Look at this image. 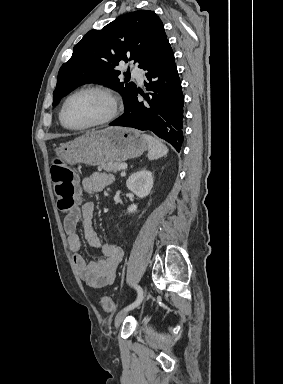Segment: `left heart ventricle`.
<instances>
[{
  "mask_svg": "<svg viewBox=\"0 0 283 384\" xmlns=\"http://www.w3.org/2000/svg\"><path fill=\"white\" fill-rule=\"evenodd\" d=\"M107 100L96 93H82L69 100L64 111L65 123L70 127L89 124L106 115Z\"/></svg>",
  "mask_w": 283,
  "mask_h": 384,
  "instance_id": "obj_1",
  "label": "left heart ventricle"
}]
</instances>
